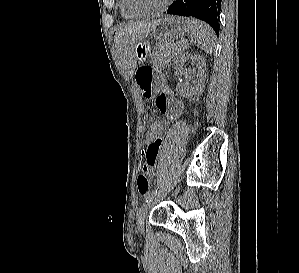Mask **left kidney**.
I'll return each instance as SVG.
<instances>
[{"label":"left kidney","mask_w":299,"mask_h":273,"mask_svg":"<svg viewBox=\"0 0 299 273\" xmlns=\"http://www.w3.org/2000/svg\"><path fill=\"white\" fill-rule=\"evenodd\" d=\"M192 60L196 64V69H193L192 74L196 78L194 81V86L189 85V83H178V92L185 97H193L199 95L204 88V74L206 63L203 57L200 55L192 53H183L175 61V68L181 74L183 65L186 61Z\"/></svg>","instance_id":"1"}]
</instances>
